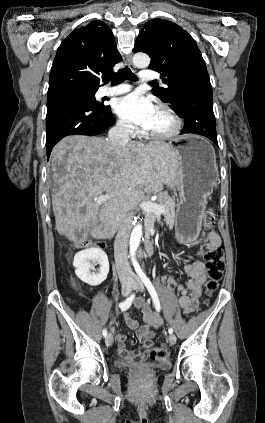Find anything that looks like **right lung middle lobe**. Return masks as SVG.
<instances>
[{
    "label": "right lung middle lobe",
    "mask_w": 265,
    "mask_h": 423,
    "mask_svg": "<svg viewBox=\"0 0 265 423\" xmlns=\"http://www.w3.org/2000/svg\"><path fill=\"white\" fill-rule=\"evenodd\" d=\"M71 91L83 93L85 95V97L96 107H104L103 104H100L95 100V93H96L95 90L76 89V90H71Z\"/></svg>",
    "instance_id": "1"
}]
</instances>
